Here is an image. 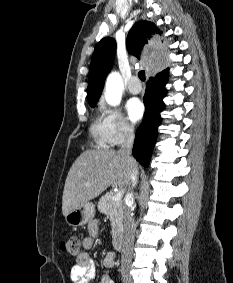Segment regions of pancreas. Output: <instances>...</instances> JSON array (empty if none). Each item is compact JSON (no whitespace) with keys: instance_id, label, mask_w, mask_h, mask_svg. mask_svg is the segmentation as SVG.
I'll return each instance as SVG.
<instances>
[{"instance_id":"cf45deb5","label":"pancreas","mask_w":233,"mask_h":283,"mask_svg":"<svg viewBox=\"0 0 233 283\" xmlns=\"http://www.w3.org/2000/svg\"><path fill=\"white\" fill-rule=\"evenodd\" d=\"M114 193L108 192L103 195L98 202V209L106 214L111 222L112 234L116 235L122 229L123 222V202L113 200Z\"/></svg>"}]
</instances>
